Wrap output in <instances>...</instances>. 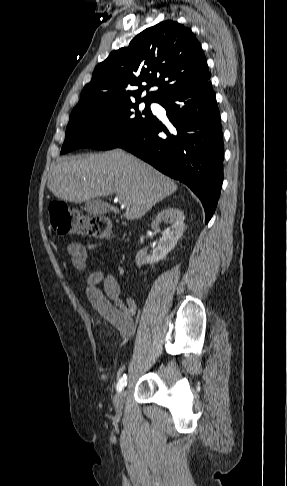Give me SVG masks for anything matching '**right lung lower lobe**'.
<instances>
[{
	"label": "right lung lower lobe",
	"instance_id": "right-lung-lower-lobe-1",
	"mask_svg": "<svg viewBox=\"0 0 287 486\" xmlns=\"http://www.w3.org/2000/svg\"><path fill=\"white\" fill-rule=\"evenodd\" d=\"M157 102L167 112L173 126L170 131L153 116L116 148L186 184L201 200L208 223L220 196L224 158L220 114L211 82L174 92Z\"/></svg>",
	"mask_w": 287,
	"mask_h": 486
}]
</instances>
